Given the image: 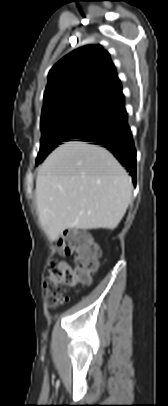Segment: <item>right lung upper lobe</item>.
I'll return each instance as SVG.
<instances>
[{
    "label": "right lung upper lobe",
    "mask_w": 168,
    "mask_h": 406,
    "mask_svg": "<svg viewBox=\"0 0 168 406\" xmlns=\"http://www.w3.org/2000/svg\"><path fill=\"white\" fill-rule=\"evenodd\" d=\"M121 95V83L109 53L100 45L84 46L50 70L41 117L79 103L110 104Z\"/></svg>",
    "instance_id": "obj_1"
}]
</instances>
